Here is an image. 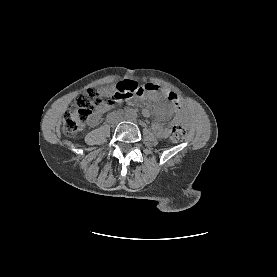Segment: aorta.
<instances>
[{
    "mask_svg": "<svg viewBox=\"0 0 277 277\" xmlns=\"http://www.w3.org/2000/svg\"><path fill=\"white\" fill-rule=\"evenodd\" d=\"M125 118L128 121H134L137 118V111L135 109H127L125 112Z\"/></svg>",
    "mask_w": 277,
    "mask_h": 277,
    "instance_id": "obj_1",
    "label": "aorta"
}]
</instances>
